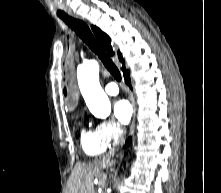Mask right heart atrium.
I'll use <instances>...</instances> for the list:
<instances>
[{
  "mask_svg": "<svg viewBox=\"0 0 221 193\" xmlns=\"http://www.w3.org/2000/svg\"><path fill=\"white\" fill-rule=\"evenodd\" d=\"M95 132L107 145L119 141L123 135V129L115 120H103L97 123Z\"/></svg>",
  "mask_w": 221,
  "mask_h": 193,
  "instance_id": "obj_1",
  "label": "right heart atrium"
}]
</instances>
